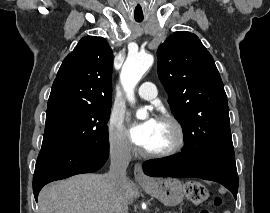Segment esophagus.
Wrapping results in <instances>:
<instances>
[{"mask_svg":"<svg viewBox=\"0 0 270 213\" xmlns=\"http://www.w3.org/2000/svg\"><path fill=\"white\" fill-rule=\"evenodd\" d=\"M134 177L137 182H150V178L145 175L142 165L139 163H136L134 166Z\"/></svg>","mask_w":270,"mask_h":213,"instance_id":"34e87169","label":"esophagus"}]
</instances>
